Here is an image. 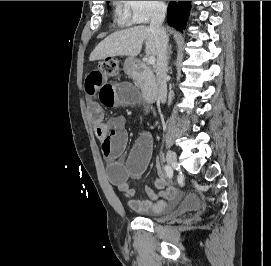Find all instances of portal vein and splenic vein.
Returning <instances> with one entry per match:
<instances>
[{
  "label": "portal vein and splenic vein",
  "mask_w": 271,
  "mask_h": 266,
  "mask_svg": "<svg viewBox=\"0 0 271 266\" xmlns=\"http://www.w3.org/2000/svg\"><path fill=\"white\" fill-rule=\"evenodd\" d=\"M155 61H156V59H155L154 56H150L149 59H148V63H149L150 65H154V64H155Z\"/></svg>",
  "instance_id": "portal-vein-and-splenic-vein-1"
}]
</instances>
